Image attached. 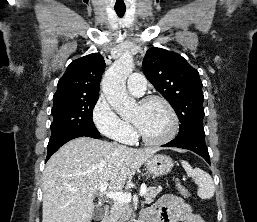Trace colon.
Returning a JSON list of instances; mask_svg holds the SVG:
<instances>
[{
	"instance_id": "obj_1",
	"label": "colon",
	"mask_w": 257,
	"mask_h": 222,
	"mask_svg": "<svg viewBox=\"0 0 257 222\" xmlns=\"http://www.w3.org/2000/svg\"><path fill=\"white\" fill-rule=\"evenodd\" d=\"M177 187L181 195H183L184 197H187L189 195L188 189L182 183L178 182Z\"/></svg>"
}]
</instances>
